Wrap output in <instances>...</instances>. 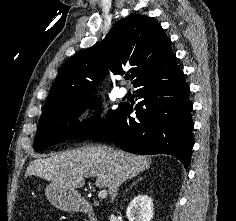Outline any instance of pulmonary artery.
<instances>
[{
	"label": "pulmonary artery",
	"mask_w": 236,
	"mask_h": 221,
	"mask_svg": "<svg viewBox=\"0 0 236 221\" xmlns=\"http://www.w3.org/2000/svg\"><path fill=\"white\" fill-rule=\"evenodd\" d=\"M128 94V90L125 87H120L118 90V96L119 97H125Z\"/></svg>",
	"instance_id": "1"
}]
</instances>
